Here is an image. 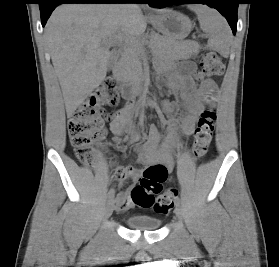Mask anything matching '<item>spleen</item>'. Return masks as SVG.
<instances>
[{
    "label": "spleen",
    "instance_id": "spleen-1",
    "mask_svg": "<svg viewBox=\"0 0 279 267\" xmlns=\"http://www.w3.org/2000/svg\"><path fill=\"white\" fill-rule=\"evenodd\" d=\"M197 15L200 28L209 35L208 46L223 56L229 54L231 31L225 19L206 5L190 7Z\"/></svg>",
    "mask_w": 279,
    "mask_h": 267
}]
</instances>
